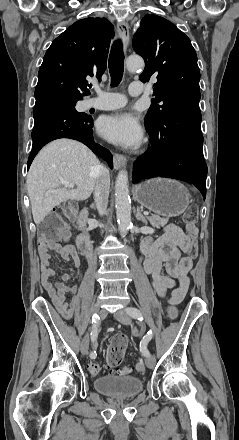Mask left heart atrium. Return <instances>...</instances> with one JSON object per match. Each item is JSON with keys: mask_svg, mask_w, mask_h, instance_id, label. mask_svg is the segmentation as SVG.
<instances>
[{"mask_svg": "<svg viewBox=\"0 0 239 440\" xmlns=\"http://www.w3.org/2000/svg\"><path fill=\"white\" fill-rule=\"evenodd\" d=\"M101 134L108 140L125 146H138L143 131L138 119L129 112L111 114L103 119Z\"/></svg>", "mask_w": 239, "mask_h": 440, "instance_id": "39dd6f15", "label": "left heart atrium"}]
</instances>
